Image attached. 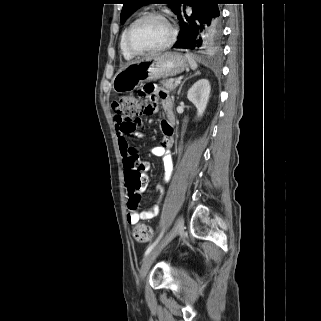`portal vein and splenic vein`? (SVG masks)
<instances>
[{"label":"portal vein and splenic vein","mask_w":321,"mask_h":321,"mask_svg":"<svg viewBox=\"0 0 321 321\" xmlns=\"http://www.w3.org/2000/svg\"><path fill=\"white\" fill-rule=\"evenodd\" d=\"M180 83H181V80H176V81H175V84H176V85H178V84H180Z\"/></svg>","instance_id":"obj_1"}]
</instances>
